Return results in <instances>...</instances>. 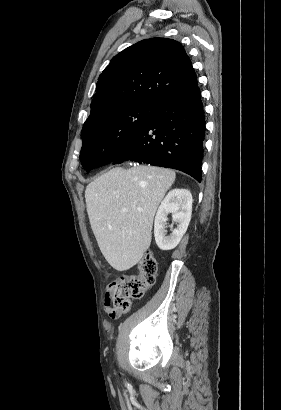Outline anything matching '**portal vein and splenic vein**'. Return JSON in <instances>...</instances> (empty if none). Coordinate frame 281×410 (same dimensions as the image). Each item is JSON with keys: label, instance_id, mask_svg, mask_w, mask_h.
<instances>
[{"label": "portal vein and splenic vein", "instance_id": "portal-vein-and-splenic-vein-1", "mask_svg": "<svg viewBox=\"0 0 281 410\" xmlns=\"http://www.w3.org/2000/svg\"><path fill=\"white\" fill-rule=\"evenodd\" d=\"M137 210H138L139 212L143 211V209H142L141 207H138ZM122 212H127V208H123V209H122Z\"/></svg>", "mask_w": 281, "mask_h": 410}]
</instances>
